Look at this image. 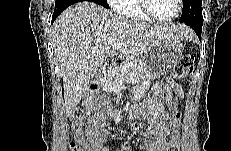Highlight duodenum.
<instances>
[{"instance_id": "obj_1", "label": "duodenum", "mask_w": 231, "mask_h": 151, "mask_svg": "<svg viewBox=\"0 0 231 151\" xmlns=\"http://www.w3.org/2000/svg\"><path fill=\"white\" fill-rule=\"evenodd\" d=\"M100 81H95L93 83L90 84L89 86V91L92 93V94H97L99 92V89H100Z\"/></svg>"}]
</instances>
